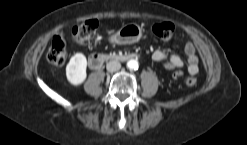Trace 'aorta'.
<instances>
[{
  "instance_id": "1",
  "label": "aorta",
  "mask_w": 247,
  "mask_h": 145,
  "mask_svg": "<svg viewBox=\"0 0 247 145\" xmlns=\"http://www.w3.org/2000/svg\"><path fill=\"white\" fill-rule=\"evenodd\" d=\"M127 66L131 70H137L139 67L138 61L135 59L129 60Z\"/></svg>"
}]
</instances>
